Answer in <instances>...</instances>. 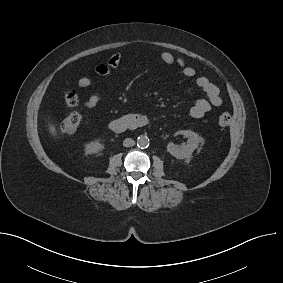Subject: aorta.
Wrapping results in <instances>:
<instances>
[{
  "label": "aorta",
  "mask_w": 283,
  "mask_h": 283,
  "mask_svg": "<svg viewBox=\"0 0 283 283\" xmlns=\"http://www.w3.org/2000/svg\"><path fill=\"white\" fill-rule=\"evenodd\" d=\"M150 144L149 138L146 135H140L137 138V145L140 148H147Z\"/></svg>",
  "instance_id": "1"
}]
</instances>
